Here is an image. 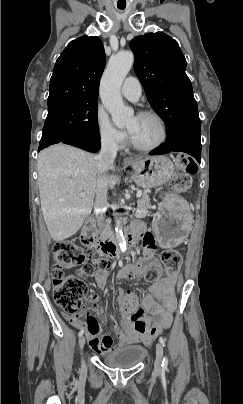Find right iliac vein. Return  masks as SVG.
Listing matches in <instances>:
<instances>
[{"instance_id": "obj_1", "label": "right iliac vein", "mask_w": 243, "mask_h": 404, "mask_svg": "<svg viewBox=\"0 0 243 404\" xmlns=\"http://www.w3.org/2000/svg\"><path fill=\"white\" fill-rule=\"evenodd\" d=\"M84 345H85V338L83 336H81L79 339V349L81 351V355H82V350H83ZM82 368L86 369V363H85V360L83 357H82Z\"/></svg>"}]
</instances>
